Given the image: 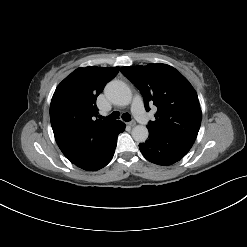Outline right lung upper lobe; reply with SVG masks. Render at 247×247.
<instances>
[{
  "label": "right lung upper lobe",
  "instance_id": "cb5924a9",
  "mask_svg": "<svg viewBox=\"0 0 247 247\" xmlns=\"http://www.w3.org/2000/svg\"><path fill=\"white\" fill-rule=\"evenodd\" d=\"M119 67L78 68L56 88L50 105V121L56 142L63 154L75 160L84 154L95 133L115 121L96 119V99Z\"/></svg>",
  "mask_w": 247,
  "mask_h": 247
}]
</instances>
